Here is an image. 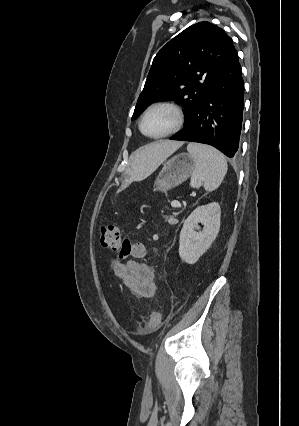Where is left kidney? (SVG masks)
I'll list each match as a JSON object with an SVG mask.
<instances>
[{"instance_id": "1", "label": "left kidney", "mask_w": 299, "mask_h": 426, "mask_svg": "<svg viewBox=\"0 0 299 426\" xmlns=\"http://www.w3.org/2000/svg\"><path fill=\"white\" fill-rule=\"evenodd\" d=\"M220 217L221 209L217 202L198 206L188 216L179 238V256L183 261L194 264L209 249L219 232ZM199 223L203 225L202 230H199Z\"/></svg>"}]
</instances>
